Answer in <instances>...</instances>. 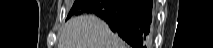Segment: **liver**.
Segmentation results:
<instances>
[{
  "label": "liver",
  "mask_w": 213,
  "mask_h": 48,
  "mask_svg": "<svg viewBox=\"0 0 213 48\" xmlns=\"http://www.w3.org/2000/svg\"><path fill=\"white\" fill-rule=\"evenodd\" d=\"M58 48H126V44L104 21L85 14L63 26Z\"/></svg>",
  "instance_id": "1"
}]
</instances>
